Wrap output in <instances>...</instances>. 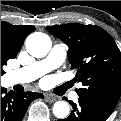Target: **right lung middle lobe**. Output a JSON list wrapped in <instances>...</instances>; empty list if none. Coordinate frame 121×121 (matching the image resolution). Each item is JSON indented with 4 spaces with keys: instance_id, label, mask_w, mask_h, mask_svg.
Wrapping results in <instances>:
<instances>
[{
    "instance_id": "right-lung-middle-lobe-1",
    "label": "right lung middle lobe",
    "mask_w": 121,
    "mask_h": 121,
    "mask_svg": "<svg viewBox=\"0 0 121 121\" xmlns=\"http://www.w3.org/2000/svg\"><path fill=\"white\" fill-rule=\"evenodd\" d=\"M10 58H15V55H12L7 47L1 43V76L5 73L2 67L6 65L7 60Z\"/></svg>"
}]
</instances>
